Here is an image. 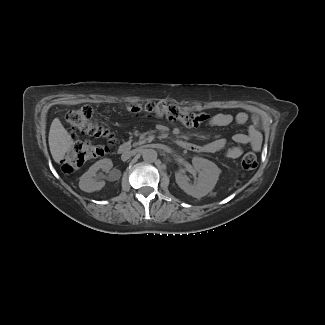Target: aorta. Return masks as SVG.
I'll return each instance as SVG.
<instances>
[{
    "instance_id": "762f6f07",
    "label": "aorta",
    "mask_w": 325,
    "mask_h": 325,
    "mask_svg": "<svg viewBox=\"0 0 325 325\" xmlns=\"http://www.w3.org/2000/svg\"><path fill=\"white\" fill-rule=\"evenodd\" d=\"M157 151L154 149H145L142 152V157L145 162H155L157 159Z\"/></svg>"
}]
</instances>
